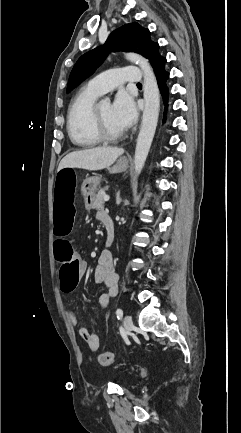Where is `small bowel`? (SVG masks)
Returning a JSON list of instances; mask_svg holds the SVG:
<instances>
[{"instance_id": "obj_1", "label": "small bowel", "mask_w": 241, "mask_h": 433, "mask_svg": "<svg viewBox=\"0 0 241 433\" xmlns=\"http://www.w3.org/2000/svg\"><path fill=\"white\" fill-rule=\"evenodd\" d=\"M104 215L108 214L104 211H99L97 213V219L102 222ZM81 265L82 268H84V262H82ZM94 281L108 289V293L101 294L98 298L99 307L106 309L110 304L111 298L114 297L118 291V275L115 272L114 261L110 253L103 252L100 255L98 264L94 271ZM68 318L72 325L78 326L79 319L73 311L68 312ZM78 332L80 337L87 343L91 351L96 352L99 349L100 342L98 336L95 333L90 332L83 326L79 327Z\"/></svg>"}]
</instances>
